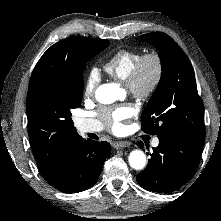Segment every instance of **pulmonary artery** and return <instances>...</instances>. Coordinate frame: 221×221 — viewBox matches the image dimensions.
Instances as JSON below:
<instances>
[{"instance_id":"1","label":"pulmonary artery","mask_w":221,"mask_h":221,"mask_svg":"<svg viewBox=\"0 0 221 221\" xmlns=\"http://www.w3.org/2000/svg\"><path fill=\"white\" fill-rule=\"evenodd\" d=\"M76 127L78 131L82 134L90 132H98L102 129V126L99 121L94 119H78L76 121ZM153 146H158L159 140L154 139Z\"/></svg>"}]
</instances>
